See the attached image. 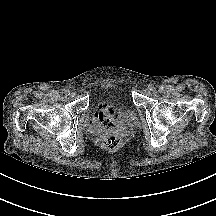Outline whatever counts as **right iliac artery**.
I'll use <instances>...</instances> for the list:
<instances>
[{
  "label": "right iliac artery",
  "instance_id": "right-iliac-artery-1",
  "mask_svg": "<svg viewBox=\"0 0 216 216\" xmlns=\"http://www.w3.org/2000/svg\"><path fill=\"white\" fill-rule=\"evenodd\" d=\"M64 93H65L66 95H70V90L66 89V90H64Z\"/></svg>",
  "mask_w": 216,
  "mask_h": 216
}]
</instances>
